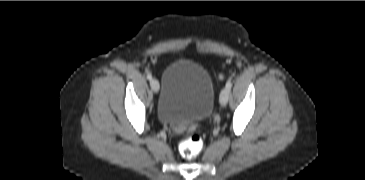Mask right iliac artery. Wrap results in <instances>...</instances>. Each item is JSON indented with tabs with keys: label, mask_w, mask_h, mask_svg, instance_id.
<instances>
[{
	"label": "right iliac artery",
	"mask_w": 365,
	"mask_h": 180,
	"mask_svg": "<svg viewBox=\"0 0 365 180\" xmlns=\"http://www.w3.org/2000/svg\"><path fill=\"white\" fill-rule=\"evenodd\" d=\"M147 79L151 80L152 79V75L150 73L147 74Z\"/></svg>",
	"instance_id": "obj_1"
}]
</instances>
